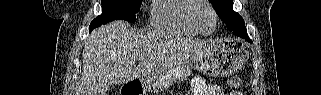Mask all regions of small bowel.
<instances>
[{
	"instance_id": "c3829d8e",
	"label": "small bowel",
	"mask_w": 321,
	"mask_h": 95,
	"mask_svg": "<svg viewBox=\"0 0 321 95\" xmlns=\"http://www.w3.org/2000/svg\"><path fill=\"white\" fill-rule=\"evenodd\" d=\"M198 90L195 91V95H222V90L219 86L213 84L195 83Z\"/></svg>"
}]
</instances>
